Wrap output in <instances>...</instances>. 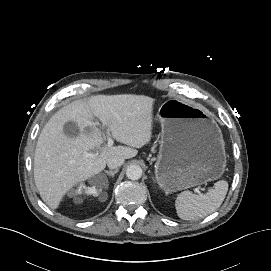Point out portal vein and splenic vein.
Masks as SVG:
<instances>
[{
	"label": "portal vein and splenic vein",
	"mask_w": 271,
	"mask_h": 271,
	"mask_svg": "<svg viewBox=\"0 0 271 271\" xmlns=\"http://www.w3.org/2000/svg\"><path fill=\"white\" fill-rule=\"evenodd\" d=\"M106 133H107V140H108L107 146L110 147V146L113 145V139L111 138L110 133L108 131ZM96 156H97V153H88V152L84 153V157L85 158L93 159ZM194 190H195V192H197L198 194H200L199 188H195Z\"/></svg>",
	"instance_id": "portal-vein-and-splenic-vein-1"
}]
</instances>
